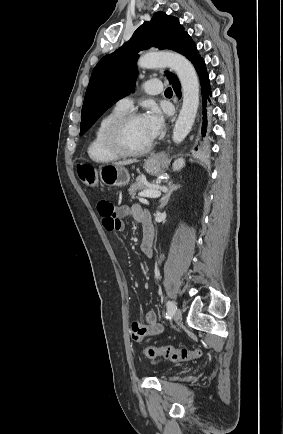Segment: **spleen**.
<instances>
[{
  "mask_svg": "<svg viewBox=\"0 0 283 434\" xmlns=\"http://www.w3.org/2000/svg\"><path fill=\"white\" fill-rule=\"evenodd\" d=\"M184 166V161L183 159H178L177 161L174 162L173 164V170H180L182 167Z\"/></svg>",
  "mask_w": 283,
  "mask_h": 434,
  "instance_id": "3e777b00",
  "label": "spleen"
}]
</instances>
